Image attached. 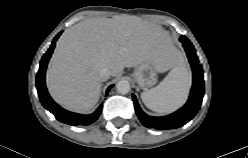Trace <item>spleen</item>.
<instances>
[{
	"label": "spleen",
	"instance_id": "3e777b00",
	"mask_svg": "<svg viewBox=\"0 0 248 158\" xmlns=\"http://www.w3.org/2000/svg\"><path fill=\"white\" fill-rule=\"evenodd\" d=\"M191 87V74L181 59L164 80L155 88L141 93L147 108L158 113H170L180 108L187 100Z\"/></svg>",
	"mask_w": 248,
	"mask_h": 158
}]
</instances>
